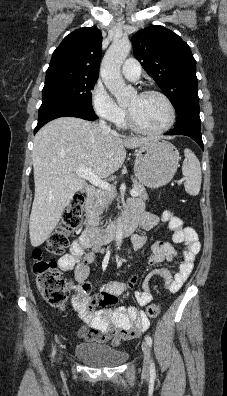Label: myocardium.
Returning a JSON list of instances; mask_svg holds the SVG:
<instances>
[{
	"label": "myocardium",
	"mask_w": 227,
	"mask_h": 396,
	"mask_svg": "<svg viewBox=\"0 0 227 396\" xmlns=\"http://www.w3.org/2000/svg\"><path fill=\"white\" fill-rule=\"evenodd\" d=\"M139 95L140 96H157V97L161 98L168 108L169 119H168L167 123L159 129H154V130L145 129V128L141 127L136 122L132 112L127 108V123L129 125V127L132 130H134L135 132L144 134V135H160V134H163V133L167 132L168 130H170L176 120V110H175V107H174L172 101L169 99V97L166 94H164L163 92L158 91V90H153V89L144 90V91L140 92Z\"/></svg>",
	"instance_id": "myocardium-1"
}]
</instances>
